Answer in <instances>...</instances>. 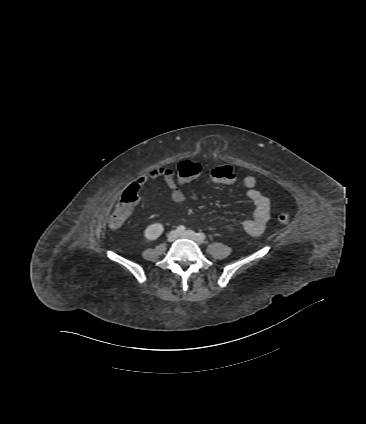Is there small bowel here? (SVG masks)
Listing matches in <instances>:
<instances>
[{
  "label": "small bowel",
  "instance_id": "obj_1",
  "mask_svg": "<svg viewBox=\"0 0 366 424\" xmlns=\"http://www.w3.org/2000/svg\"><path fill=\"white\" fill-rule=\"evenodd\" d=\"M163 179L171 191V198L176 203L184 201V194L178 188L177 182L171 169L160 167L140 176L136 180L137 186H143L150 180ZM247 197L252 202L254 209L252 218L244 221L239 229L250 235L259 236L264 230L270 216V200L256 189L257 180L254 176H247L243 180Z\"/></svg>",
  "mask_w": 366,
  "mask_h": 424
}]
</instances>
